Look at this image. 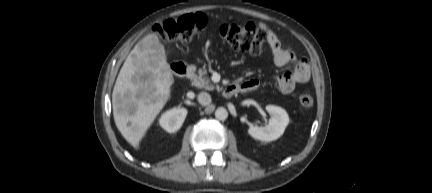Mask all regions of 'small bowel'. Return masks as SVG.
Returning a JSON list of instances; mask_svg holds the SVG:
<instances>
[{"mask_svg":"<svg viewBox=\"0 0 432 193\" xmlns=\"http://www.w3.org/2000/svg\"><path fill=\"white\" fill-rule=\"evenodd\" d=\"M259 28L267 34L268 43L271 48L273 62L276 66L282 67L290 65L291 68L284 73L274 77V85L284 94L294 91L298 84H305L310 79V68L305 60H297L294 53L284 47L276 34L265 24H260ZM259 86L257 79H248L240 84L242 92L253 91Z\"/></svg>","mask_w":432,"mask_h":193,"instance_id":"c3829d8e","label":"small bowel"}]
</instances>
